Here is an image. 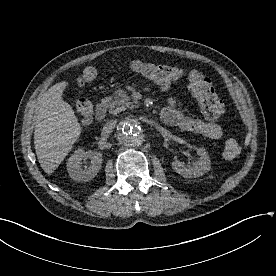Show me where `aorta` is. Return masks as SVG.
Here are the masks:
<instances>
[{"instance_id": "762f6f07", "label": "aorta", "mask_w": 276, "mask_h": 276, "mask_svg": "<svg viewBox=\"0 0 276 276\" xmlns=\"http://www.w3.org/2000/svg\"><path fill=\"white\" fill-rule=\"evenodd\" d=\"M118 136L126 146H139L143 141L140 123L134 118H128L122 121L118 127Z\"/></svg>"}]
</instances>
